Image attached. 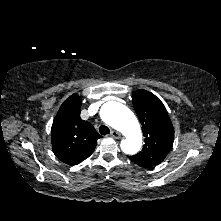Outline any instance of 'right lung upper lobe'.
<instances>
[{"mask_svg":"<svg viewBox=\"0 0 221 221\" xmlns=\"http://www.w3.org/2000/svg\"><path fill=\"white\" fill-rule=\"evenodd\" d=\"M81 98L71 95L61 105L52 125L51 140L55 156L68 165H76L94 151L102 136L80 118Z\"/></svg>","mask_w":221,"mask_h":221,"instance_id":"cb5924a9","label":"right lung upper lobe"}]
</instances>
